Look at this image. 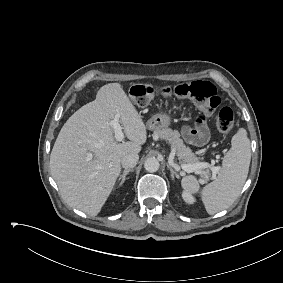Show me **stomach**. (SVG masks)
Wrapping results in <instances>:
<instances>
[{"mask_svg": "<svg viewBox=\"0 0 283 283\" xmlns=\"http://www.w3.org/2000/svg\"><path fill=\"white\" fill-rule=\"evenodd\" d=\"M171 123V117L166 112H160L155 115H153L148 121H147V127L150 130H161L168 128Z\"/></svg>", "mask_w": 283, "mask_h": 283, "instance_id": "1", "label": "stomach"}]
</instances>
